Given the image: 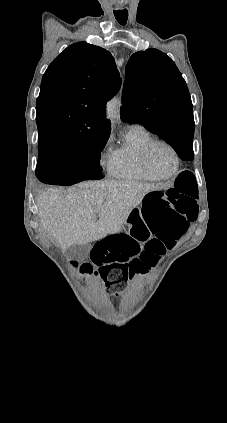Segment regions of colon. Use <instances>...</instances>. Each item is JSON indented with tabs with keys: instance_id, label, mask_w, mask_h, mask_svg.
Listing matches in <instances>:
<instances>
[{
	"instance_id": "5ec220e1",
	"label": "colon",
	"mask_w": 227,
	"mask_h": 423,
	"mask_svg": "<svg viewBox=\"0 0 227 423\" xmlns=\"http://www.w3.org/2000/svg\"><path fill=\"white\" fill-rule=\"evenodd\" d=\"M198 188L194 176L182 172L171 188L148 192L142 204V218L156 239H150L144 225L134 221L129 233L113 234L98 241L92 250V263L82 271L98 275L108 289L120 292L135 273H143L171 248L198 216ZM143 244V245H142Z\"/></svg>"
}]
</instances>
